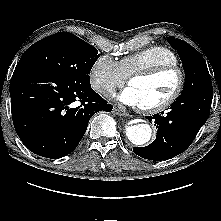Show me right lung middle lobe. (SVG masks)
I'll return each mask as SVG.
<instances>
[{"label": "right lung middle lobe", "mask_w": 221, "mask_h": 221, "mask_svg": "<svg viewBox=\"0 0 221 221\" xmlns=\"http://www.w3.org/2000/svg\"><path fill=\"white\" fill-rule=\"evenodd\" d=\"M98 51L68 32L48 36L29 47L19 62L46 68L67 81L90 86V71L99 58Z\"/></svg>", "instance_id": "right-lung-middle-lobe-1"}]
</instances>
